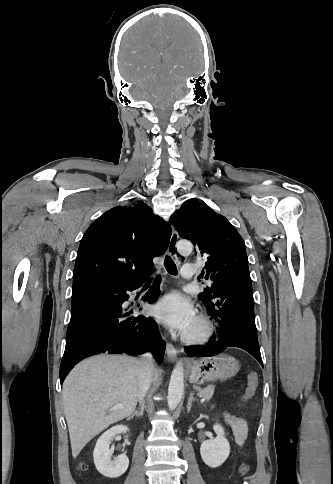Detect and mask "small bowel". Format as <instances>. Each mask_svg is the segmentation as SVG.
Returning <instances> with one entry per match:
<instances>
[{"mask_svg":"<svg viewBox=\"0 0 333 484\" xmlns=\"http://www.w3.org/2000/svg\"><path fill=\"white\" fill-rule=\"evenodd\" d=\"M223 417L233 432L236 444L238 446H242L248 435L247 422L243 418L231 415L229 413H224Z\"/></svg>","mask_w":333,"mask_h":484,"instance_id":"1","label":"small bowel"}]
</instances>
